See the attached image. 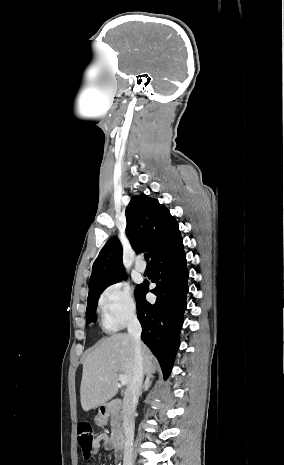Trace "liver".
I'll use <instances>...</instances> for the list:
<instances>
[{
  "instance_id": "1",
  "label": "liver",
  "mask_w": 284,
  "mask_h": 465,
  "mask_svg": "<svg viewBox=\"0 0 284 465\" xmlns=\"http://www.w3.org/2000/svg\"><path fill=\"white\" fill-rule=\"evenodd\" d=\"M134 339L130 335H112L87 355L83 365L80 401L83 411L107 405L118 393V373L127 377V387L133 379ZM143 373H154L153 355L146 345H141Z\"/></svg>"
}]
</instances>
